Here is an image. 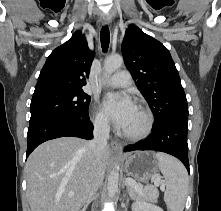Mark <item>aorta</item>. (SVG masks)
Here are the masks:
<instances>
[{
    "label": "aorta",
    "mask_w": 221,
    "mask_h": 211,
    "mask_svg": "<svg viewBox=\"0 0 221 211\" xmlns=\"http://www.w3.org/2000/svg\"><path fill=\"white\" fill-rule=\"evenodd\" d=\"M124 61L123 58L120 56L108 57L104 61V72L105 77L109 78L110 75L119 69L123 65ZM118 180H119V173H118V165H115V168L110 172L108 177V194L109 197L113 198L118 190Z\"/></svg>",
    "instance_id": "1"
}]
</instances>
